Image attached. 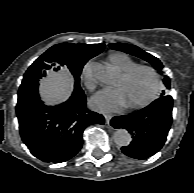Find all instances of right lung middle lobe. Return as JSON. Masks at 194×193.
I'll list each match as a JSON object with an SVG mask.
<instances>
[{"label": "right lung middle lobe", "instance_id": "1", "mask_svg": "<svg viewBox=\"0 0 194 193\" xmlns=\"http://www.w3.org/2000/svg\"><path fill=\"white\" fill-rule=\"evenodd\" d=\"M83 64H75L68 66V69L75 77V88L73 93H82L83 90L80 88L79 85V76L82 71ZM29 69V68H28ZM44 76H38L36 73L27 70L24 74V79L20 85L19 92H18V103L23 100L37 98L38 96V83L34 81V78L41 79Z\"/></svg>", "mask_w": 194, "mask_h": 193}]
</instances>
